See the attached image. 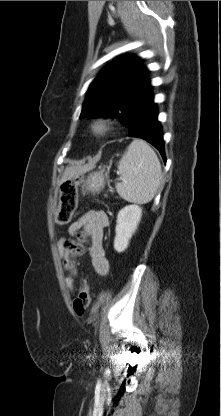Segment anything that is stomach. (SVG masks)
<instances>
[{"mask_svg":"<svg viewBox=\"0 0 221 416\" xmlns=\"http://www.w3.org/2000/svg\"><path fill=\"white\" fill-rule=\"evenodd\" d=\"M81 180L83 182V193L89 192L92 194H98L105 186V176L103 170L89 173L87 177H82Z\"/></svg>","mask_w":221,"mask_h":416,"instance_id":"stomach-1","label":"stomach"}]
</instances>
